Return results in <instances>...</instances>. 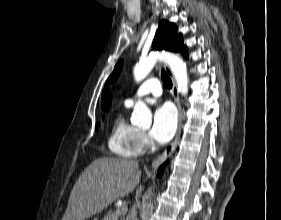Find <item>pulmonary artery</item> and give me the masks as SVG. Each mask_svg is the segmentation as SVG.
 Masks as SVG:
<instances>
[{
    "instance_id": "pulmonary-artery-1",
    "label": "pulmonary artery",
    "mask_w": 281,
    "mask_h": 220,
    "mask_svg": "<svg viewBox=\"0 0 281 220\" xmlns=\"http://www.w3.org/2000/svg\"><path fill=\"white\" fill-rule=\"evenodd\" d=\"M154 96L159 97L161 95V85L157 78H150L146 80L132 95L127 98L125 103L130 106L134 103V101L138 98H142L145 96Z\"/></svg>"
}]
</instances>
